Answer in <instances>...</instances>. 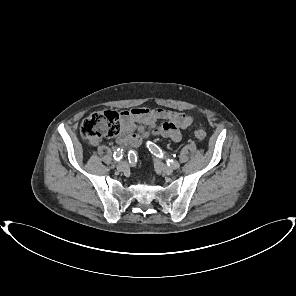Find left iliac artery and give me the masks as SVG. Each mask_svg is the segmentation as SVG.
<instances>
[{"label": "left iliac artery", "mask_w": 296, "mask_h": 296, "mask_svg": "<svg viewBox=\"0 0 296 296\" xmlns=\"http://www.w3.org/2000/svg\"><path fill=\"white\" fill-rule=\"evenodd\" d=\"M147 147L149 148L151 153H153L154 155H156L158 157H163L162 150H160V148L156 144H154L153 142L148 141L147 142ZM167 165L169 167L174 168V169H177V168L180 167V164L177 161H174L172 159L167 160Z\"/></svg>", "instance_id": "obj_1"}]
</instances>
